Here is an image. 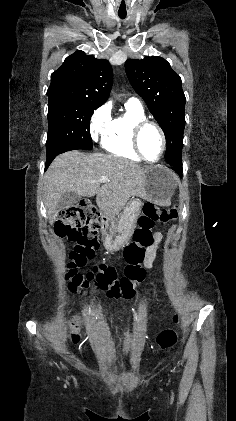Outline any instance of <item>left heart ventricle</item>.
Wrapping results in <instances>:
<instances>
[{
	"instance_id": "obj_1",
	"label": "left heart ventricle",
	"mask_w": 236,
	"mask_h": 421,
	"mask_svg": "<svg viewBox=\"0 0 236 421\" xmlns=\"http://www.w3.org/2000/svg\"><path fill=\"white\" fill-rule=\"evenodd\" d=\"M140 146L144 155L150 161L159 159L162 152V140L158 131L152 126H146L140 135Z\"/></svg>"
}]
</instances>
